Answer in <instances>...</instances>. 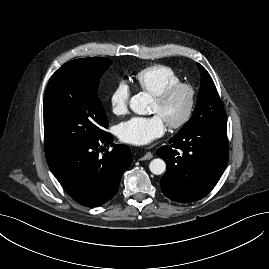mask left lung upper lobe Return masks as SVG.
<instances>
[{
	"instance_id": "left-lung-upper-lobe-1",
	"label": "left lung upper lobe",
	"mask_w": 269,
	"mask_h": 269,
	"mask_svg": "<svg viewBox=\"0 0 269 269\" xmlns=\"http://www.w3.org/2000/svg\"><path fill=\"white\" fill-rule=\"evenodd\" d=\"M197 66L201 74V86L196 107L191 119L178 133L194 126L227 123L225 110L211 76L202 65L197 63Z\"/></svg>"
}]
</instances>
